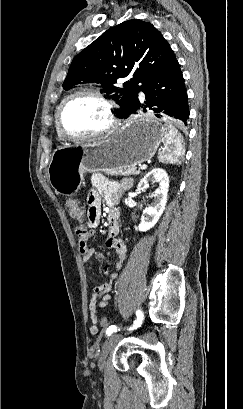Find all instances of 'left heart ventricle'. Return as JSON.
Wrapping results in <instances>:
<instances>
[{"label": "left heart ventricle", "instance_id": "left-heart-ventricle-1", "mask_svg": "<svg viewBox=\"0 0 243 409\" xmlns=\"http://www.w3.org/2000/svg\"><path fill=\"white\" fill-rule=\"evenodd\" d=\"M62 123L69 134L87 135L101 131L108 122L102 103L91 96L79 95L67 103Z\"/></svg>", "mask_w": 243, "mask_h": 409}]
</instances>
